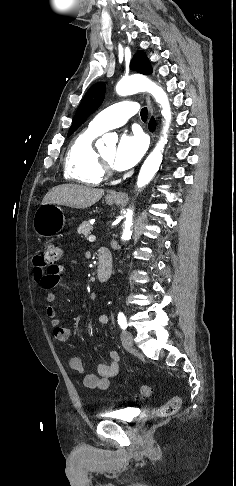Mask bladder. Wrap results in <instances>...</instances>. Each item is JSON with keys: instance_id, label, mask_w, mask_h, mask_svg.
<instances>
[{"instance_id": "obj_1", "label": "bladder", "mask_w": 236, "mask_h": 486, "mask_svg": "<svg viewBox=\"0 0 236 486\" xmlns=\"http://www.w3.org/2000/svg\"><path fill=\"white\" fill-rule=\"evenodd\" d=\"M100 417L107 420L129 424L136 419V413L132 408H121L114 411L104 412L100 415Z\"/></svg>"}]
</instances>
